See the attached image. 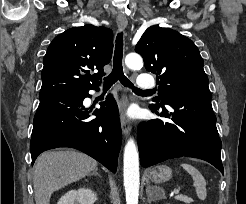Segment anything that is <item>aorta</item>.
<instances>
[{
  "label": "aorta",
  "instance_id": "762f6f07",
  "mask_svg": "<svg viewBox=\"0 0 246 204\" xmlns=\"http://www.w3.org/2000/svg\"><path fill=\"white\" fill-rule=\"evenodd\" d=\"M125 64L132 70L143 67V59L136 53H130L125 58ZM123 176L127 204H138L139 197V154L134 139L130 138L124 148Z\"/></svg>",
  "mask_w": 246,
  "mask_h": 204
}]
</instances>
